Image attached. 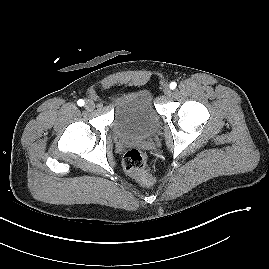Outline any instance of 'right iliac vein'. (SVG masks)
Returning <instances> with one entry per match:
<instances>
[{
	"label": "right iliac vein",
	"instance_id": "1",
	"mask_svg": "<svg viewBox=\"0 0 269 269\" xmlns=\"http://www.w3.org/2000/svg\"><path fill=\"white\" fill-rule=\"evenodd\" d=\"M85 108L89 111L93 110L95 108V104L92 100H87L85 103Z\"/></svg>",
	"mask_w": 269,
	"mask_h": 269
}]
</instances>
